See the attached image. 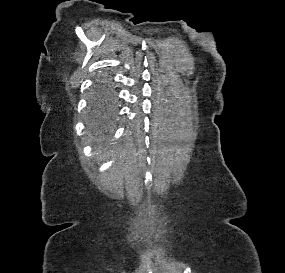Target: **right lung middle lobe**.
<instances>
[{
	"mask_svg": "<svg viewBox=\"0 0 285 273\" xmlns=\"http://www.w3.org/2000/svg\"><path fill=\"white\" fill-rule=\"evenodd\" d=\"M108 84L105 79H101L96 83L91 96V123L93 128L105 127L113 116L114 111L111 107L112 93Z\"/></svg>",
	"mask_w": 285,
	"mask_h": 273,
	"instance_id": "obj_1",
	"label": "right lung middle lobe"
}]
</instances>
